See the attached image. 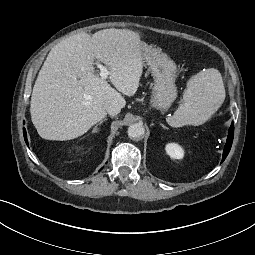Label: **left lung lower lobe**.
Returning <instances> with one entry per match:
<instances>
[{
  "label": "left lung lower lobe",
  "instance_id": "obj_1",
  "mask_svg": "<svg viewBox=\"0 0 255 255\" xmlns=\"http://www.w3.org/2000/svg\"><path fill=\"white\" fill-rule=\"evenodd\" d=\"M233 131H234V124L232 123L231 124V127L229 129V134H228V137H227V142H226V145H225V148H224V151H223V158H222V162L225 160V158L227 157L229 151H230V148L232 146V142H233Z\"/></svg>",
  "mask_w": 255,
  "mask_h": 255
}]
</instances>
